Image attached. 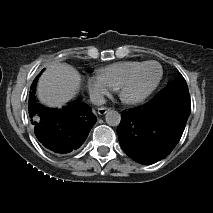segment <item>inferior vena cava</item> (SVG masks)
Wrapping results in <instances>:
<instances>
[{
	"label": "inferior vena cava",
	"mask_w": 213,
	"mask_h": 213,
	"mask_svg": "<svg viewBox=\"0 0 213 213\" xmlns=\"http://www.w3.org/2000/svg\"><path fill=\"white\" fill-rule=\"evenodd\" d=\"M90 102L99 106L105 104L106 99L99 93H92L90 94Z\"/></svg>",
	"instance_id": "inferior-vena-cava-1"
}]
</instances>
